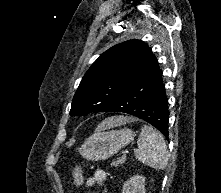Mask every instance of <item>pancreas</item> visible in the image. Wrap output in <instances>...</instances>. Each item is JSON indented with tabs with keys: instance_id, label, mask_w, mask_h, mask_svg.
Returning <instances> with one entry per match:
<instances>
[{
	"instance_id": "cf45deb5",
	"label": "pancreas",
	"mask_w": 221,
	"mask_h": 193,
	"mask_svg": "<svg viewBox=\"0 0 221 193\" xmlns=\"http://www.w3.org/2000/svg\"><path fill=\"white\" fill-rule=\"evenodd\" d=\"M126 161L125 156H123L122 158L117 159L116 161H114L112 163L113 166H119L120 164H123Z\"/></svg>"
}]
</instances>
